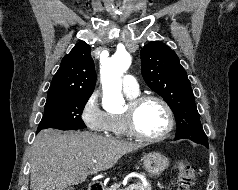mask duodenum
<instances>
[{"instance_id":"410a0bca","label":"duodenum","mask_w":238,"mask_h":190,"mask_svg":"<svg viewBox=\"0 0 238 190\" xmlns=\"http://www.w3.org/2000/svg\"><path fill=\"white\" fill-rule=\"evenodd\" d=\"M88 190H104V187L101 183L94 182L90 184Z\"/></svg>"}]
</instances>
